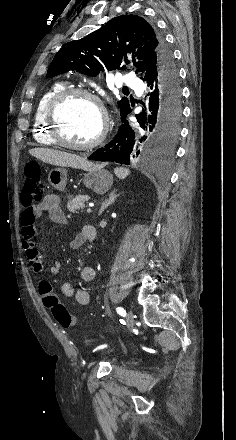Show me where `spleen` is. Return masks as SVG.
Returning a JSON list of instances; mask_svg holds the SVG:
<instances>
[{"mask_svg": "<svg viewBox=\"0 0 236 440\" xmlns=\"http://www.w3.org/2000/svg\"><path fill=\"white\" fill-rule=\"evenodd\" d=\"M114 171L119 179H125L130 174L129 169L123 167H116Z\"/></svg>", "mask_w": 236, "mask_h": 440, "instance_id": "3e777b00", "label": "spleen"}]
</instances>
